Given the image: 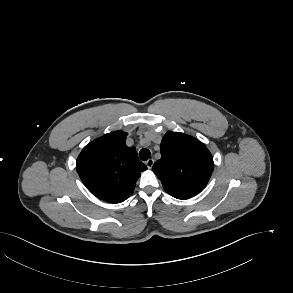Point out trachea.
<instances>
[{
  "label": "trachea",
  "instance_id": "obj_1",
  "mask_svg": "<svg viewBox=\"0 0 293 293\" xmlns=\"http://www.w3.org/2000/svg\"><path fill=\"white\" fill-rule=\"evenodd\" d=\"M139 157L142 161H146L150 157V150L148 149H141L139 152Z\"/></svg>",
  "mask_w": 293,
  "mask_h": 293
}]
</instances>
